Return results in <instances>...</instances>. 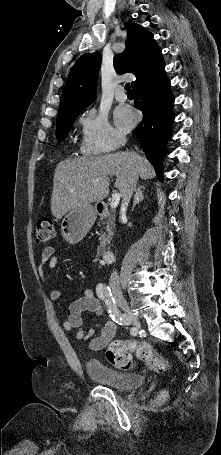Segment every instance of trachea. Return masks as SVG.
<instances>
[{
	"label": "trachea",
	"instance_id": "1",
	"mask_svg": "<svg viewBox=\"0 0 221 455\" xmlns=\"http://www.w3.org/2000/svg\"><path fill=\"white\" fill-rule=\"evenodd\" d=\"M125 90L127 91V93H132V90H131V87H130V83H127L125 85Z\"/></svg>",
	"mask_w": 221,
	"mask_h": 455
}]
</instances>
